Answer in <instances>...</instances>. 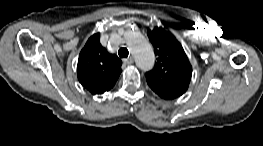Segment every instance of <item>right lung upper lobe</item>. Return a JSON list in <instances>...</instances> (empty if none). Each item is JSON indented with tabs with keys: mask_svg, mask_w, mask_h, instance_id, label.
Masks as SVG:
<instances>
[{
	"mask_svg": "<svg viewBox=\"0 0 263 146\" xmlns=\"http://www.w3.org/2000/svg\"><path fill=\"white\" fill-rule=\"evenodd\" d=\"M122 61L100 44V34L92 35L78 59V80L91 94L110 90L122 72Z\"/></svg>",
	"mask_w": 263,
	"mask_h": 146,
	"instance_id": "obj_1",
	"label": "right lung upper lobe"
}]
</instances>
